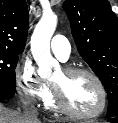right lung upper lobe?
<instances>
[{"label": "right lung upper lobe", "mask_w": 118, "mask_h": 123, "mask_svg": "<svg viewBox=\"0 0 118 123\" xmlns=\"http://www.w3.org/2000/svg\"><path fill=\"white\" fill-rule=\"evenodd\" d=\"M25 0H0V49L22 53L28 33Z\"/></svg>", "instance_id": "cb5924a9"}]
</instances>
